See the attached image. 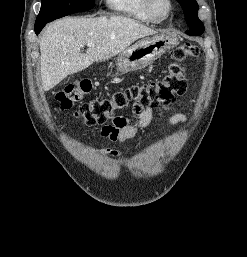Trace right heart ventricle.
<instances>
[{
	"label": "right heart ventricle",
	"mask_w": 247,
	"mask_h": 257,
	"mask_svg": "<svg viewBox=\"0 0 247 257\" xmlns=\"http://www.w3.org/2000/svg\"><path fill=\"white\" fill-rule=\"evenodd\" d=\"M108 7L141 22L153 23L145 8V0H106Z\"/></svg>",
	"instance_id": "1"
}]
</instances>
